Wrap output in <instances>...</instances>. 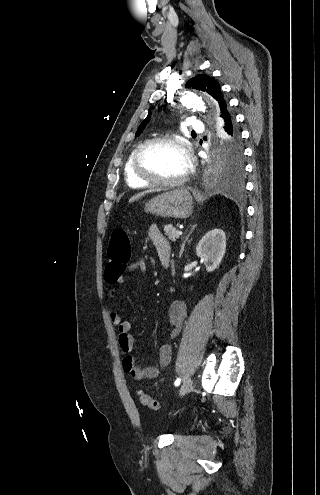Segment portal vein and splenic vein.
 I'll list each match as a JSON object with an SVG mask.
<instances>
[{
	"label": "portal vein and splenic vein",
	"instance_id": "obj_1",
	"mask_svg": "<svg viewBox=\"0 0 320 495\" xmlns=\"http://www.w3.org/2000/svg\"><path fill=\"white\" fill-rule=\"evenodd\" d=\"M176 234H177L178 236H180V235H182V231H177V232H176Z\"/></svg>",
	"mask_w": 320,
	"mask_h": 495
}]
</instances>
